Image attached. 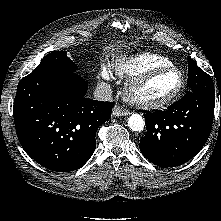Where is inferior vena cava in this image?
<instances>
[{
  "label": "inferior vena cava",
  "instance_id": "obj_1",
  "mask_svg": "<svg viewBox=\"0 0 221 221\" xmlns=\"http://www.w3.org/2000/svg\"><path fill=\"white\" fill-rule=\"evenodd\" d=\"M94 98L98 101H110L112 99V90L108 83L101 82L94 91Z\"/></svg>",
  "mask_w": 221,
  "mask_h": 221
}]
</instances>
